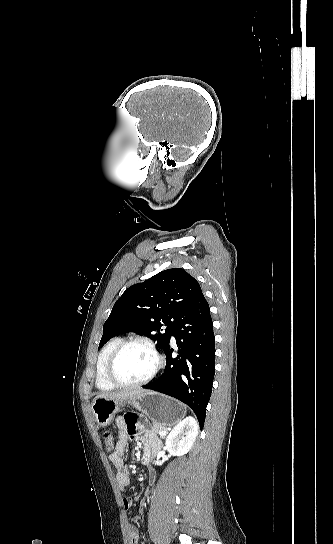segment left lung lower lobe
Returning <instances> with one entry per match:
<instances>
[{
	"label": "left lung lower lobe",
	"mask_w": 333,
	"mask_h": 544,
	"mask_svg": "<svg viewBox=\"0 0 333 544\" xmlns=\"http://www.w3.org/2000/svg\"><path fill=\"white\" fill-rule=\"evenodd\" d=\"M178 356L172 357L169 345L164 349L163 374L143 388L172 396L187 404L203 428L206 407L211 396L215 372V340L209 305L202 294L176 324Z\"/></svg>",
	"instance_id": "1"
}]
</instances>
